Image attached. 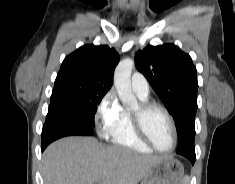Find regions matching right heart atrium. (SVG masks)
<instances>
[{
	"instance_id": "right-heart-atrium-1",
	"label": "right heart atrium",
	"mask_w": 235,
	"mask_h": 184,
	"mask_svg": "<svg viewBox=\"0 0 235 184\" xmlns=\"http://www.w3.org/2000/svg\"><path fill=\"white\" fill-rule=\"evenodd\" d=\"M124 114V109L119 103L113 90L107 92L98 103L93 117L96 134L101 139L111 137L119 126Z\"/></svg>"
}]
</instances>
